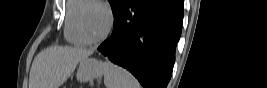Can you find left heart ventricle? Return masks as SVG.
<instances>
[{
  "label": "left heart ventricle",
  "instance_id": "left-heart-ventricle-1",
  "mask_svg": "<svg viewBox=\"0 0 267 88\" xmlns=\"http://www.w3.org/2000/svg\"><path fill=\"white\" fill-rule=\"evenodd\" d=\"M83 26L91 38L101 36L107 27V15L97 6H89L83 14Z\"/></svg>",
  "mask_w": 267,
  "mask_h": 88
}]
</instances>
